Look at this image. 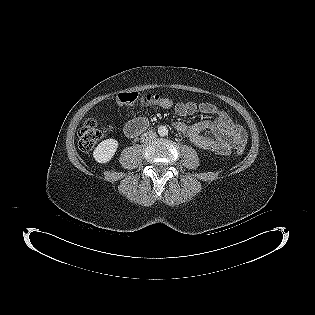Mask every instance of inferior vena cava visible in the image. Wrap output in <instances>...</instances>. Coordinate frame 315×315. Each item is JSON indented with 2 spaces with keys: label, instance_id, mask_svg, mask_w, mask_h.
<instances>
[{
  "label": "inferior vena cava",
  "instance_id": "inferior-vena-cava-1",
  "mask_svg": "<svg viewBox=\"0 0 315 315\" xmlns=\"http://www.w3.org/2000/svg\"><path fill=\"white\" fill-rule=\"evenodd\" d=\"M156 137H157L156 132H154L152 130L147 131L141 135V142H143V143L151 142V141L155 140Z\"/></svg>",
  "mask_w": 315,
  "mask_h": 315
}]
</instances>
